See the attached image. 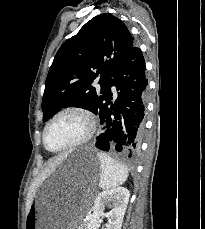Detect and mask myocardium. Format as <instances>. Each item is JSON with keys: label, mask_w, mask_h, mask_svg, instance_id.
Returning <instances> with one entry per match:
<instances>
[{"label": "myocardium", "mask_w": 205, "mask_h": 229, "mask_svg": "<svg viewBox=\"0 0 205 229\" xmlns=\"http://www.w3.org/2000/svg\"><path fill=\"white\" fill-rule=\"evenodd\" d=\"M67 114H76L84 119L86 123L85 133L79 139L64 147H61L59 149H51L48 147L47 140H46L48 129L58 118ZM95 130H96V120L93 113L90 110L82 106H68L58 111L46 124L43 130V145L46 148V150L52 153L67 151L69 149L83 145L84 143L89 141L93 136Z\"/></svg>", "instance_id": "myocardium-1"}]
</instances>
